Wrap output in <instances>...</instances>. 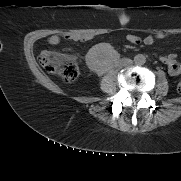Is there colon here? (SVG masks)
I'll list each match as a JSON object with an SVG mask.
<instances>
[{
  "instance_id": "obj_1",
  "label": "colon",
  "mask_w": 181,
  "mask_h": 181,
  "mask_svg": "<svg viewBox=\"0 0 181 181\" xmlns=\"http://www.w3.org/2000/svg\"><path fill=\"white\" fill-rule=\"evenodd\" d=\"M39 62L47 72L61 77L65 82L73 83L79 76L76 62L60 53L44 51L39 56ZM178 91L181 93V81Z\"/></svg>"
}]
</instances>
